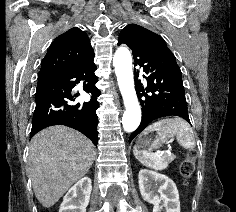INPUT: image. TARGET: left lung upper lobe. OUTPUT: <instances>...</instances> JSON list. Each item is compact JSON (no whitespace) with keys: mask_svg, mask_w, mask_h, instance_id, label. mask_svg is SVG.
Here are the masks:
<instances>
[{"mask_svg":"<svg viewBox=\"0 0 236 212\" xmlns=\"http://www.w3.org/2000/svg\"><path fill=\"white\" fill-rule=\"evenodd\" d=\"M122 31L137 32L139 34H145V35H148V36L161 38L156 33L152 32V31H150V30H148V29H146V28H144L140 25H137V24H129L125 28H123Z\"/></svg>","mask_w":236,"mask_h":212,"instance_id":"left-lung-upper-lobe-1","label":"left lung upper lobe"}]
</instances>
